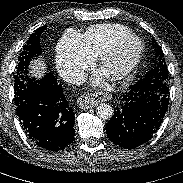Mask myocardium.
<instances>
[{"instance_id": "f54148a6", "label": "myocardium", "mask_w": 183, "mask_h": 183, "mask_svg": "<svg viewBox=\"0 0 183 183\" xmlns=\"http://www.w3.org/2000/svg\"><path fill=\"white\" fill-rule=\"evenodd\" d=\"M134 44L136 45V52L127 61L120 69L118 70H111L110 65L111 63L117 59L122 51L128 46ZM144 53V45L141 40L137 37H131L125 40L120 41L110 50L106 51L100 56L98 67L99 69L107 76V78L111 81H122L128 79L133 75L136 71L142 56Z\"/></svg>"}]
</instances>
